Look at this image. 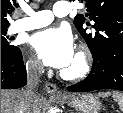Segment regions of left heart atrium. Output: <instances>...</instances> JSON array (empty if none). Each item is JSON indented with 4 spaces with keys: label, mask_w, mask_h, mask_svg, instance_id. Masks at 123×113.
<instances>
[{
    "label": "left heart atrium",
    "mask_w": 123,
    "mask_h": 113,
    "mask_svg": "<svg viewBox=\"0 0 123 113\" xmlns=\"http://www.w3.org/2000/svg\"><path fill=\"white\" fill-rule=\"evenodd\" d=\"M30 45L47 66L64 69L74 60L73 37L65 28L40 31L30 38Z\"/></svg>",
    "instance_id": "39dd6f15"
}]
</instances>
